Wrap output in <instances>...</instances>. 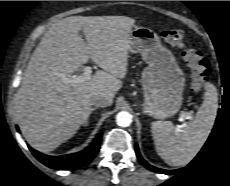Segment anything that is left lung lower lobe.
<instances>
[{
	"mask_svg": "<svg viewBox=\"0 0 230 186\" xmlns=\"http://www.w3.org/2000/svg\"><path fill=\"white\" fill-rule=\"evenodd\" d=\"M135 152H136V155L139 159V161L149 170L151 171H154V172H158V173H163V174H167V175H172V174H175L176 172L180 171L181 169H178V170H164V169H159V168H156L154 166H151L150 164H148L140 155L139 153V150H138V146L137 144L135 145Z\"/></svg>",
	"mask_w": 230,
	"mask_h": 186,
	"instance_id": "obj_1",
	"label": "left lung lower lobe"
}]
</instances>
